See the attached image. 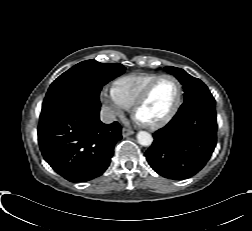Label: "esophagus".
Listing matches in <instances>:
<instances>
[{
  "label": "esophagus",
  "instance_id": "1",
  "mask_svg": "<svg viewBox=\"0 0 252 231\" xmlns=\"http://www.w3.org/2000/svg\"><path fill=\"white\" fill-rule=\"evenodd\" d=\"M133 133H134V132H133V130H131V129L122 128V136H123V137L130 136V135H132Z\"/></svg>",
  "mask_w": 252,
  "mask_h": 231
}]
</instances>
